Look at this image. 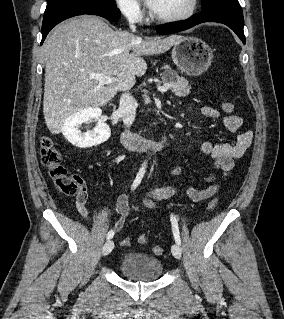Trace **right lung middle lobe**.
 <instances>
[{"label": "right lung middle lobe", "instance_id": "dd1d6c3e", "mask_svg": "<svg viewBox=\"0 0 284 319\" xmlns=\"http://www.w3.org/2000/svg\"><path fill=\"white\" fill-rule=\"evenodd\" d=\"M76 6H116L114 0H47L44 17L60 9Z\"/></svg>", "mask_w": 284, "mask_h": 319}]
</instances>
